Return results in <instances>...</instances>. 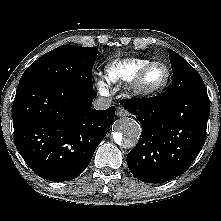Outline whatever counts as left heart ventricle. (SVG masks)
I'll list each match as a JSON object with an SVG mask.
<instances>
[{
    "label": "left heart ventricle",
    "mask_w": 221,
    "mask_h": 221,
    "mask_svg": "<svg viewBox=\"0 0 221 221\" xmlns=\"http://www.w3.org/2000/svg\"><path fill=\"white\" fill-rule=\"evenodd\" d=\"M166 76V70L162 66H155L145 77V83L148 86H156L160 84Z\"/></svg>",
    "instance_id": "1"
}]
</instances>
